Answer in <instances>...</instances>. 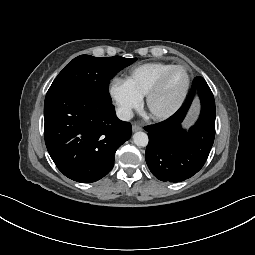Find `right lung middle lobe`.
Here are the masks:
<instances>
[{
    "mask_svg": "<svg viewBox=\"0 0 255 255\" xmlns=\"http://www.w3.org/2000/svg\"><path fill=\"white\" fill-rule=\"evenodd\" d=\"M137 58L93 57L80 55L68 63L55 78L48 91L75 89L94 93L107 103H112L109 94L110 80Z\"/></svg>",
    "mask_w": 255,
    "mask_h": 255,
    "instance_id": "dd1d6c3e",
    "label": "right lung middle lobe"
}]
</instances>
